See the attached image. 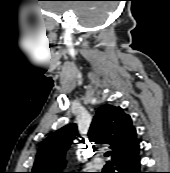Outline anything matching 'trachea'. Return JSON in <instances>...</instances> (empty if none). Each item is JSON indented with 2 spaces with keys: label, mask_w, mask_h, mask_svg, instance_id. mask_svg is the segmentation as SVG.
Listing matches in <instances>:
<instances>
[{
  "label": "trachea",
  "mask_w": 170,
  "mask_h": 173,
  "mask_svg": "<svg viewBox=\"0 0 170 173\" xmlns=\"http://www.w3.org/2000/svg\"><path fill=\"white\" fill-rule=\"evenodd\" d=\"M104 155H105V157H108L110 155V152L108 151Z\"/></svg>",
  "instance_id": "obj_1"
}]
</instances>
